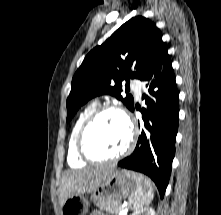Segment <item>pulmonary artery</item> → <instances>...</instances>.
<instances>
[{
	"label": "pulmonary artery",
	"instance_id": "e3ab8cb5",
	"mask_svg": "<svg viewBox=\"0 0 221 215\" xmlns=\"http://www.w3.org/2000/svg\"><path fill=\"white\" fill-rule=\"evenodd\" d=\"M132 87H133V90H134L137 98H140L141 91H142V83L139 80H133Z\"/></svg>",
	"mask_w": 221,
	"mask_h": 215
}]
</instances>
